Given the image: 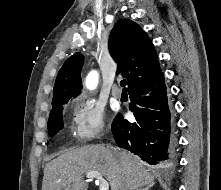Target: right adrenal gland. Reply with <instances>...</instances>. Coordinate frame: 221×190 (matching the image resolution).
Segmentation results:
<instances>
[{"label":"right adrenal gland","instance_id":"1","mask_svg":"<svg viewBox=\"0 0 221 190\" xmlns=\"http://www.w3.org/2000/svg\"><path fill=\"white\" fill-rule=\"evenodd\" d=\"M151 188H152V185L147 186V187H145V188H143V189H141V190H150Z\"/></svg>","mask_w":221,"mask_h":190}]
</instances>
